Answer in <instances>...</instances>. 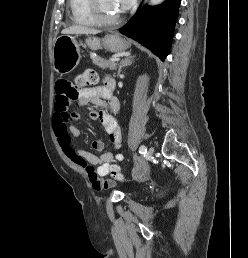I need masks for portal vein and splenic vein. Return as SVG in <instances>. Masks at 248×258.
Masks as SVG:
<instances>
[{"mask_svg":"<svg viewBox=\"0 0 248 258\" xmlns=\"http://www.w3.org/2000/svg\"><path fill=\"white\" fill-rule=\"evenodd\" d=\"M119 60H120L119 57H113L110 59V61H112V62H118Z\"/></svg>","mask_w":248,"mask_h":258,"instance_id":"1","label":"portal vein and splenic vein"}]
</instances>
